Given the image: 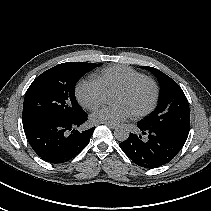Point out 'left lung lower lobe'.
<instances>
[{
    "label": "left lung lower lobe",
    "instance_id": "obj_1",
    "mask_svg": "<svg viewBox=\"0 0 211 211\" xmlns=\"http://www.w3.org/2000/svg\"><path fill=\"white\" fill-rule=\"evenodd\" d=\"M142 135L130 133L119 144L123 152L138 166L156 168L169 163L182 149L186 141L162 129L137 124Z\"/></svg>",
    "mask_w": 211,
    "mask_h": 211
}]
</instances>
